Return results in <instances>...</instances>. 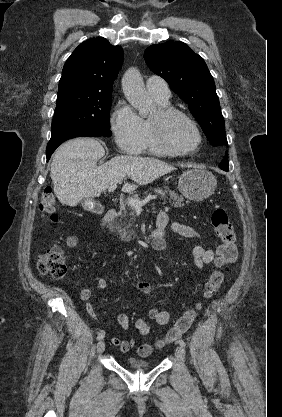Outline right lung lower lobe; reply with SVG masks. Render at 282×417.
Listing matches in <instances>:
<instances>
[{
  "label": "right lung lower lobe",
  "mask_w": 282,
  "mask_h": 417,
  "mask_svg": "<svg viewBox=\"0 0 282 417\" xmlns=\"http://www.w3.org/2000/svg\"><path fill=\"white\" fill-rule=\"evenodd\" d=\"M81 136H86V137H100L102 135L97 134V133H93L84 129H80V128H74V129H69V130H65L62 131L60 133H57L55 135L51 136V139L47 145L46 148V155H47V161L50 159L51 154L54 152V150L64 141L70 139V138H74V137H81Z\"/></svg>",
  "instance_id": "right-lung-lower-lobe-1"
}]
</instances>
